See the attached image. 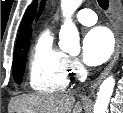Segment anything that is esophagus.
Returning <instances> with one entry per match:
<instances>
[{
    "label": "esophagus",
    "mask_w": 123,
    "mask_h": 113,
    "mask_svg": "<svg viewBox=\"0 0 123 113\" xmlns=\"http://www.w3.org/2000/svg\"><path fill=\"white\" fill-rule=\"evenodd\" d=\"M116 7V2L114 0H110V9L114 11ZM120 48H121V38L119 32L116 33V44H115V49L113 52V56L111 59V62L109 65L103 70V72L90 84V90H94L100 82L105 78V76L111 71L112 67L116 63L119 53H120Z\"/></svg>",
    "instance_id": "34e87169"
}]
</instances>
